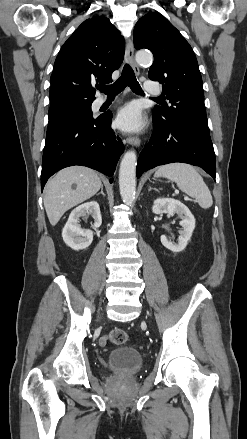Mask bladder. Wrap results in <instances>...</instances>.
I'll return each mask as SVG.
<instances>
[{"label": "bladder", "instance_id": "31cf9c89", "mask_svg": "<svg viewBox=\"0 0 247 439\" xmlns=\"http://www.w3.org/2000/svg\"><path fill=\"white\" fill-rule=\"evenodd\" d=\"M107 367L115 374L128 375L138 372L143 366L142 354L133 347H122L109 353Z\"/></svg>", "mask_w": 247, "mask_h": 439}]
</instances>
